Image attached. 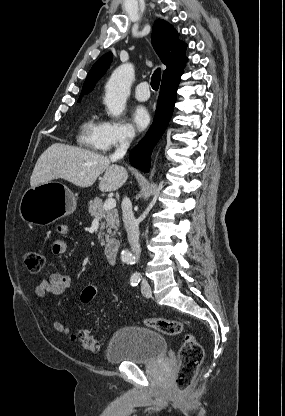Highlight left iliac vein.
Here are the masks:
<instances>
[{"label":"left iliac vein","mask_w":285,"mask_h":416,"mask_svg":"<svg viewBox=\"0 0 285 416\" xmlns=\"http://www.w3.org/2000/svg\"><path fill=\"white\" fill-rule=\"evenodd\" d=\"M141 291H142L143 295H144L145 297H147V298H149V297L151 296V294H152V292H151V288H150V285H149V283H148V282H146V281H143V282L141 283Z\"/></svg>","instance_id":"left-iliac-vein-1"}]
</instances>
